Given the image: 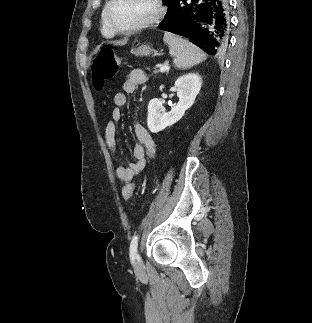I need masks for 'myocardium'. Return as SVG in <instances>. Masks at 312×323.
I'll return each instance as SVG.
<instances>
[{
  "label": "myocardium",
  "mask_w": 312,
  "mask_h": 323,
  "mask_svg": "<svg viewBox=\"0 0 312 323\" xmlns=\"http://www.w3.org/2000/svg\"><path fill=\"white\" fill-rule=\"evenodd\" d=\"M163 0H150L151 4H154L152 11V19L150 23L155 25L157 21H164L166 10L168 8L167 3H162ZM122 0H109L107 3V10L105 11V19L110 25V31H145L146 26L149 23L148 18H140V20H119L115 14L118 9V4H121Z\"/></svg>",
  "instance_id": "myocardium-1"
}]
</instances>
